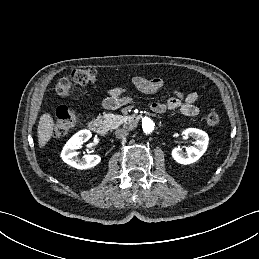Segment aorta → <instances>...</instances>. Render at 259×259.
Instances as JSON below:
<instances>
[{"label": "aorta", "mask_w": 259, "mask_h": 259, "mask_svg": "<svg viewBox=\"0 0 259 259\" xmlns=\"http://www.w3.org/2000/svg\"><path fill=\"white\" fill-rule=\"evenodd\" d=\"M141 127L144 133L150 134L155 127L154 121L149 117H144L141 122Z\"/></svg>", "instance_id": "762f6f07"}]
</instances>
